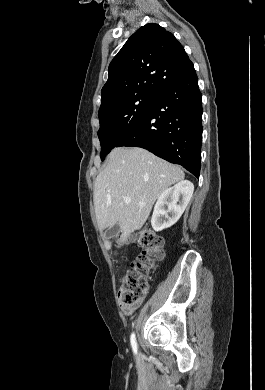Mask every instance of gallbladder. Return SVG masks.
Instances as JSON below:
<instances>
[{
	"label": "gallbladder",
	"instance_id": "obj_1",
	"mask_svg": "<svg viewBox=\"0 0 265 390\" xmlns=\"http://www.w3.org/2000/svg\"><path fill=\"white\" fill-rule=\"evenodd\" d=\"M119 232V225L115 224L105 231L106 238H111Z\"/></svg>",
	"mask_w": 265,
	"mask_h": 390
}]
</instances>
